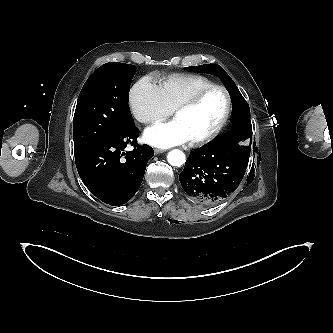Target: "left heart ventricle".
Listing matches in <instances>:
<instances>
[{"mask_svg": "<svg viewBox=\"0 0 333 333\" xmlns=\"http://www.w3.org/2000/svg\"><path fill=\"white\" fill-rule=\"evenodd\" d=\"M226 109V97L215 90L207 94L195 107L175 116L190 140L200 138L211 132L221 121Z\"/></svg>", "mask_w": 333, "mask_h": 333, "instance_id": "obj_1", "label": "left heart ventricle"}]
</instances>
